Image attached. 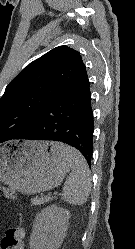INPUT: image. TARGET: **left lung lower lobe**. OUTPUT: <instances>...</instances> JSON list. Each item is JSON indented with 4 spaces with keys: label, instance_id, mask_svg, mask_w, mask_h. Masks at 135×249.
<instances>
[{
    "label": "left lung lower lobe",
    "instance_id": "obj_1",
    "mask_svg": "<svg viewBox=\"0 0 135 249\" xmlns=\"http://www.w3.org/2000/svg\"><path fill=\"white\" fill-rule=\"evenodd\" d=\"M94 118L87 78L43 108L34 127L14 139L54 140L78 149L91 165Z\"/></svg>",
    "mask_w": 135,
    "mask_h": 249
}]
</instances>
